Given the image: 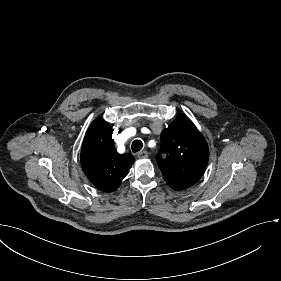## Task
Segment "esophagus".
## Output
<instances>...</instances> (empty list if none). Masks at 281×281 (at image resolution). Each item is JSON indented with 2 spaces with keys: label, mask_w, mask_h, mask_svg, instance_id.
<instances>
[{
  "label": "esophagus",
  "mask_w": 281,
  "mask_h": 281,
  "mask_svg": "<svg viewBox=\"0 0 281 281\" xmlns=\"http://www.w3.org/2000/svg\"><path fill=\"white\" fill-rule=\"evenodd\" d=\"M138 158H147L148 157V152L147 151H142V152H139L138 155H137Z\"/></svg>",
  "instance_id": "1"
}]
</instances>
